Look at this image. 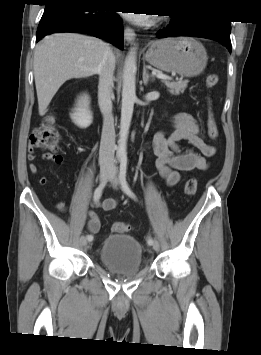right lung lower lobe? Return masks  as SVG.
Wrapping results in <instances>:
<instances>
[{"instance_id":"1","label":"right lung lower lobe","mask_w":261,"mask_h":355,"mask_svg":"<svg viewBox=\"0 0 261 355\" xmlns=\"http://www.w3.org/2000/svg\"><path fill=\"white\" fill-rule=\"evenodd\" d=\"M36 42L50 33L78 32L106 39L123 49V23L113 11L89 0H45Z\"/></svg>"}]
</instances>
